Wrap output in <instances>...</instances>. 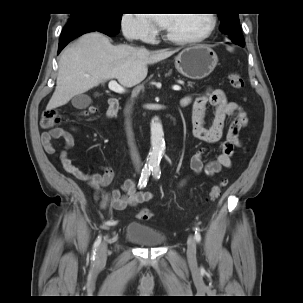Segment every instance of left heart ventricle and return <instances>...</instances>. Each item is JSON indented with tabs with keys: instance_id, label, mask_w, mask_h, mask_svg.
I'll list each match as a JSON object with an SVG mask.
<instances>
[{
	"instance_id": "1",
	"label": "left heart ventricle",
	"mask_w": 303,
	"mask_h": 303,
	"mask_svg": "<svg viewBox=\"0 0 303 303\" xmlns=\"http://www.w3.org/2000/svg\"><path fill=\"white\" fill-rule=\"evenodd\" d=\"M171 21L166 30L180 37L194 36L202 33L209 26L208 14H172Z\"/></svg>"
}]
</instances>
